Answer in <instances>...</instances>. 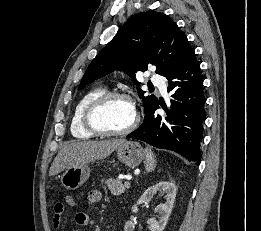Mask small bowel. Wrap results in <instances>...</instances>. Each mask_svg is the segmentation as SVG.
Segmentation results:
<instances>
[{"instance_id":"small-bowel-1","label":"small bowel","mask_w":261,"mask_h":231,"mask_svg":"<svg viewBox=\"0 0 261 231\" xmlns=\"http://www.w3.org/2000/svg\"><path fill=\"white\" fill-rule=\"evenodd\" d=\"M101 200V194L98 191H93L89 195V203L98 202ZM64 213V206L62 204H57L54 206L53 224L55 229H59L62 215ZM76 223L79 226H87L90 222V218L85 211H79L75 217Z\"/></svg>"}]
</instances>
